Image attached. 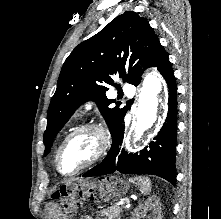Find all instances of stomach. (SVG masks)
<instances>
[{"mask_svg":"<svg viewBox=\"0 0 221 219\" xmlns=\"http://www.w3.org/2000/svg\"><path fill=\"white\" fill-rule=\"evenodd\" d=\"M77 181L67 184L64 190H57V195L72 199V204H91L94 199H122L128 189V184L116 177L78 178Z\"/></svg>","mask_w":221,"mask_h":219,"instance_id":"stomach-1","label":"stomach"}]
</instances>
